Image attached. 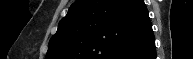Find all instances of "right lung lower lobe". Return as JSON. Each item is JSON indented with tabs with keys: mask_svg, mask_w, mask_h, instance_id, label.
<instances>
[{
	"mask_svg": "<svg viewBox=\"0 0 193 59\" xmlns=\"http://www.w3.org/2000/svg\"><path fill=\"white\" fill-rule=\"evenodd\" d=\"M120 59H156L155 39L153 34L142 45L120 57Z\"/></svg>",
	"mask_w": 193,
	"mask_h": 59,
	"instance_id": "right-lung-lower-lobe-1",
	"label": "right lung lower lobe"
}]
</instances>
